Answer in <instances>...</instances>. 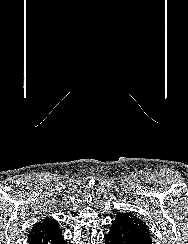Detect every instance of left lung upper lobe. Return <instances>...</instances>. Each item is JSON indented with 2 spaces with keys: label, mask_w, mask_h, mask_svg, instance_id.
<instances>
[{
  "label": "left lung upper lobe",
  "mask_w": 188,
  "mask_h": 244,
  "mask_svg": "<svg viewBox=\"0 0 188 244\" xmlns=\"http://www.w3.org/2000/svg\"><path fill=\"white\" fill-rule=\"evenodd\" d=\"M125 214L127 215V217H129L133 222H135L138 225V227L143 231L145 235L151 238L149 228L141 219H139L138 217L134 216L131 213H125Z\"/></svg>",
  "instance_id": "left-lung-upper-lobe-1"
}]
</instances>
